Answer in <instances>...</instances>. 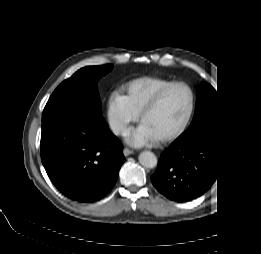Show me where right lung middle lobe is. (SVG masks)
I'll return each instance as SVG.
<instances>
[{
  "mask_svg": "<svg viewBox=\"0 0 261 254\" xmlns=\"http://www.w3.org/2000/svg\"><path fill=\"white\" fill-rule=\"evenodd\" d=\"M112 68L113 65L109 64L89 66L78 70L55 89L45 108L75 106L95 118H103L97 83Z\"/></svg>",
  "mask_w": 261,
  "mask_h": 254,
  "instance_id": "right-lung-middle-lobe-1",
  "label": "right lung middle lobe"
}]
</instances>
